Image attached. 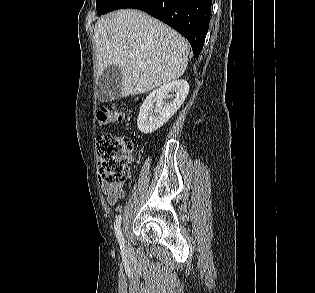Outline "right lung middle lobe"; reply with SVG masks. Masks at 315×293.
<instances>
[{
	"instance_id": "1",
	"label": "right lung middle lobe",
	"mask_w": 315,
	"mask_h": 293,
	"mask_svg": "<svg viewBox=\"0 0 315 293\" xmlns=\"http://www.w3.org/2000/svg\"><path fill=\"white\" fill-rule=\"evenodd\" d=\"M112 1L113 0H97L96 9H97L98 16L105 13L106 9L108 8V6L110 5Z\"/></svg>"
}]
</instances>
